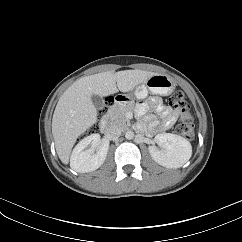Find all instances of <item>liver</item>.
<instances>
[{
	"label": "liver",
	"mask_w": 242,
	"mask_h": 242,
	"mask_svg": "<svg viewBox=\"0 0 242 242\" xmlns=\"http://www.w3.org/2000/svg\"><path fill=\"white\" fill-rule=\"evenodd\" d=\"M142 70L107 71L86 76L74 82L60 97L52 119L56 152L68 164L77 138L97 122L92 95L100 97L132 91L155 75Z\"/></svg>",
	"instance_id": "6515ba94"
}]
</instances>
